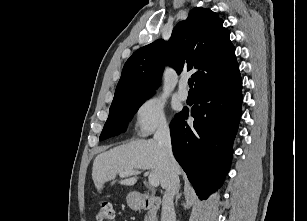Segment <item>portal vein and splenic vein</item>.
<instances>
[{
	"label": "portal vein and splenic vein",
	"instance_id": "portal-vein-and-splenic-vein-1",
	"mask_svg": "<svg viewBox=\"0 0 307 221\" xmlns=\"http://www.w3.org/2000/svg\"><path fill=\"white\" fill-rule=\"evenodd\" d=\"M138 173H139L138 171L122 172V173H120V177L125 178V177L132 176V175H135V174H138ZM148 181H149V184L153 187L159 186V179L157 178V176L154 173L149 174Z\"/></svg>",
	"mask_w": 307,
	"mask_h": 221
}]
</instances>
